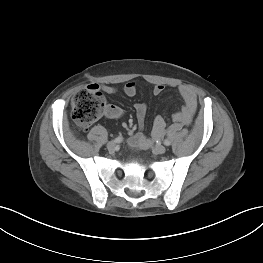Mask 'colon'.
I'll use <instances>...</instances> for the list:
<instances>
[{
    "instance_id": "colon-1",
    "label": "colon",
    "mask_w": 263,
    "mask_h": 263,
    "mask_svg": "<svg viewBox=\"0 0 263 263\" xmlns=\"http://www.w3.org/2000/svg\"><path fill=\"white\" fill-rule=\"evenodd\" d=\"M106 108L104 96L94 86L80 90L72 99L73 118L81 128H86L98 120Z\"/></svg>"
}]
</instances>
